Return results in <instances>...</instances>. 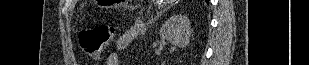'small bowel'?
Masks as SVG:
<instances>
[{"instance_id":"1","label":"small bowel","mask_w":309,"mask_h":65,"mask_svg":"<svg viewBox=\"0 0 309 65\" xmlns=\"http://www.w3.org/2000/svg\"><path fill=\"white\" fill-rule=\"evenodd\" d=\"M144 30L145 26L143 21L140 19L136 20L134 25L119 37L116 43L117 49L123 50L127 48L136 37L144 33ZM107 65H122L120 56L117 53L110 54L108 56Z\"/></svg>"}]
</instances>
